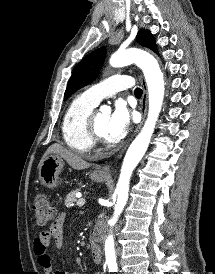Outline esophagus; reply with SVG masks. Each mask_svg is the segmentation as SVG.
<instances>
[{
	"label": "esophagus",
	"mask_w": 215,
	"mask_h": 274,
	"mask_svg": "<svg viewBox=\"0 0 215 274\" xmlns=\"http://www.w3.org/2000/svg\"><path fill=\"white\" fill-rule=\"evenodd\" d=\"M141 83H142V86H143V96H142V100H141V115H142V121L141 123L139 124V126L137 127L136 131H135V134L138 132V130L140 129L144 119H145V116H146V111H147V102H148V93H147V86H146V83H145V80L143 77H141ZM125 149H123L120 154L118 155L117 158H120L123 154ZM97 173L100 174V175H103V176H110L111 174V165H105V166H102L101 168H99L97 170Z\"/></svg>",
	"instance_id": "1"
}]
</instances>
